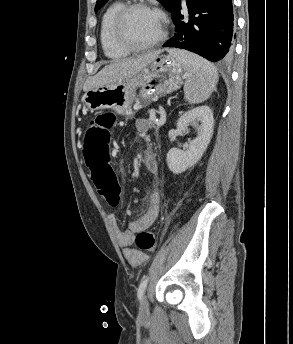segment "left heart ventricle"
<instances>
[{"label": "left heart ventricle", "instance_id": "obj_1", "mask_svg": "<svg viewBox=\"0 0 293 344\" xmlns=\"http://www.w3.org/2000/svg\"><path fill=\"white\" fill-rule=\"evenodd\" d=\"M125 30L128 37L136 43H147L160 36V18L146 10H135L127 18Z\"/></svg>", "mask_w": 293, "mask_h": 344}]
</instances>
